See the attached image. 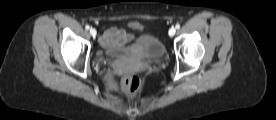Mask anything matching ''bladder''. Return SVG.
Masks as SVG:
<instances>
[{"label":"bladder","mask_w":276,"mask_h":120,"mask_svg":"<svg viewBox=\"0 0 276 120\" xmlns=\"http://www.w3.org/2000/svg\"><path fill=\"white\" fill-rule=\"evenodd\" d=\"M137 37L133 46L113 47L108 53L111 56L132 55L136 51L147 58H159L166 52L164 43L155 34L147 31L141 24H135Z\"/></svg>","instance_id":"bladder-1"}]
</instances>
